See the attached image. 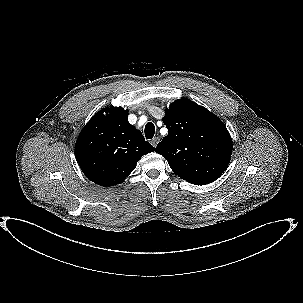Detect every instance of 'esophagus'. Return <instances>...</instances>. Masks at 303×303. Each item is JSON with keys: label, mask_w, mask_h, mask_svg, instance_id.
I'll return each instance as SVG.
<instances>
[{"label": "esophagus", "mask_w": 303, "mask_h": 303, "mask_svg": "<svg viewBox=\"0 0 303 303\" xmlns=\"http://www.w3.org/2000/svg\"><path fill=\"white\" fill-rule=\"evenodd\" d=\"M159 141H160L159 137H154L150 142L153 147H156Z\"/></svg>", "instance_id": "esophagus-1"}]
</instances>
